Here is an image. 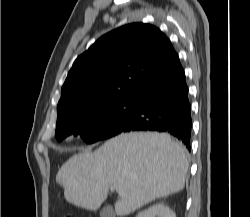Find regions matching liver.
<instances>
[{
  "label": "liver",
  "mask_w": 250,
  "mask_h": 217,
  "mask_svg": "<svg viewBox=\"0 0 250 217\" xmlns=\"http://www.w3.org/2000/svg\"><path fill=\"white\" fill-rule=\"evenodd\" d=\"M188 160L183 146L168 134L122 133L93 152L78 153L59 169L56 180L67 202L96 211L110 187L119 199L118 216H126L155 199L184 188Z\"/></svg>",
  "instance_id": "obj_1"
}]
</instances>
